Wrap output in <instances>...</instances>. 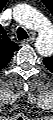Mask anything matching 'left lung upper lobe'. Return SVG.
Wrapping results in <instances>:
<instances>
[{
    "instance_id": "1",
    "label": "left lung upper lobe",
    "mask_w": 53,
    "mask_h": 120,
    "mask_svg": "<svg viewBox=\"0 0 53 120\" xmlns=\"http://www.w3.org/2000/svg\"><path fill=\"white\" fill-rule=\"evenodd\" d=\"M42 2H43L46 6H48V4H49V2L46 1V0H42ZM48 59H49V58H45V59H44V63H45L46 66H48V63H47V60H48Z\"/></svg>"
}]
</instances>
